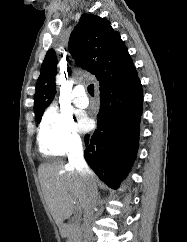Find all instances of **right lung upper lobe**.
I'll return each mask as SVG.
<instances>
[{"instance_id":"right-lung-upper-lobe-1","label":"right lung upper lobe","mask_w":187,"mask_h":242,"mask_svg":"<svg viewBox=\"0 0 187 242\" xmlns=\"http://www.w3.org/2000/svg\"><path fill=\"white\" fill-rule=\"evenodd\" d=\"M69 52L78 66L94 74L100 90L125 81L137 73L128 49L105 18L83 14L70 35ZM57 73V58L48 50L36 84L35 115L43 114L52 102Z\"/></svg>"}]
</instances>
